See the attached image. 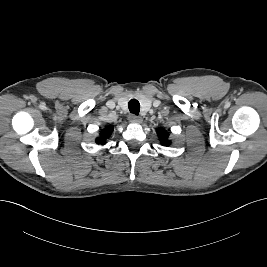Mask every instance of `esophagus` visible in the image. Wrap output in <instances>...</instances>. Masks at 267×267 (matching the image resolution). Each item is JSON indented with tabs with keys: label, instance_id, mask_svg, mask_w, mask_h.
<instances>
[{
	"label": "esophagus",
	"instance_id": "obj_1",
	"mask_svg": "<svg viewBox=\"0 0 267 267\" xmlns=\"http://www.w3.org/2000/svg\"><path fill=\"white\" fill-rule=\"evenodd\" d=\"M129 121L132 122V123H141L142 122V118L132 114V115L129 116Z\"/></svg>",
	"mask_w": 267,
	"mask_h": 267
}]
</instances>
